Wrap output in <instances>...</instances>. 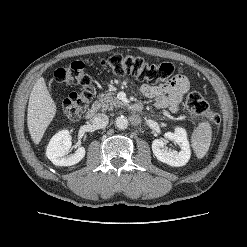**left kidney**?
<instances>
[{"label": "left kidney", "mask_w": 247, "mask_h": 247, "mask_svg": "<svg viewBox=\"0 0 247 247\" xmlns=\"http://www.w3.org/2000/svg\"><path fill=\"white\" fill-rule=\"evenodd\" d=\"M166 140L174 141L181 150L177 152L166 149L164 147ZM152 151L159 161L170 166L180 167L186 165L191 157L186 130L177 127L174 132H166L164 138L155 139L152 142Z\"/></svg>", "instance_id": "obj_1"}]
</instances>
